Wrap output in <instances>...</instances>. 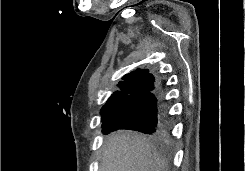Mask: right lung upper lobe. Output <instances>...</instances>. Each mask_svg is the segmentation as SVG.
<instances>
[{
    "label": "right lung upper lobe",
    "instance_id": "obj_1",
    "mask_svg": "<svg viewBox=\"0 0 245 171\" xmlns=\"http://www.w3.org/2000/svg\"><path fill=\"white\" fill-rule=\"evenodd\" d=\"M160 83L146 70L137 69L122 77L118 83L119 91H116L108 99L106 104H118L122 100H130L136 96L154 92L160 88Z\"/></svg>",
    "mask_w": 245,
    "mask_h": 171
}]
</instances>
